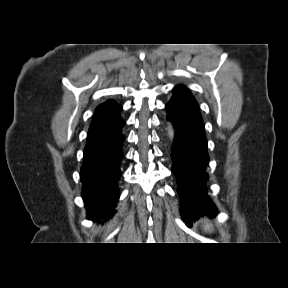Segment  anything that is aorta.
Here are the masks:
<instances>
[{
	"label": "aorta",
	"instance_id": "obj_1",
	"mask_svg": "<svg viewBox=\"0 0 288 288\" xmlns=\"http://www.w3.org/2000/svg\"><path fill=\"white\" fill-rule=\"evenodd\" d=\"M169 132H170V136H173V130L171 126L169 127Z\"/></svg>",
	"mask_w": 288,
	"mask_h": 288
}]
</instances>
